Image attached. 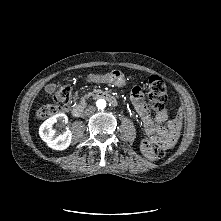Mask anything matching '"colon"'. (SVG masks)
Returning <instances> with one entry per match:
<instances>
[{
	"label": "colon",
	"instance_id": "obj_1",
	"mask_svg": "<svg viewBox=\"0 0 221 221\" xmlns=\"http://www.w3.org/2000/svg\"><path fill=\"white\" fill-rule=\"evenodd\" d=\"M147 91L149 106L160 111L164 108V102L167 94L165 81L160 77L153 75L148 79ZM71 100V89L68 85L58 88L52 95V103L45 105L37 110L39 119L51 117L61 110L67 108ZM167 142L159 143L151 147L150 155L152 158L160 159L166 154Z\"/></svg>",
	"mask_w": 221,
	"mask_h": 221
}]
</instances>
